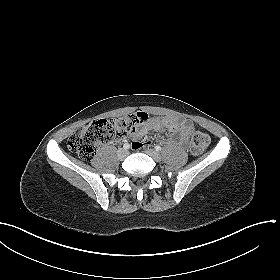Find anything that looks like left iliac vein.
Wrapping results in <instances>:
<instances>
[{
    "instance_id": "obj_1",
    "label": "left iliac vein",
    "mask_w": 280,
    "mask_h": 280,
    "mask_svg": "<svg viewBox=\"0 0 280 280\" xmlns=\"http://www.w3.org/2000/svg\"><path fill=\"white\" fill-rule=\"evenodd\" d=\"M146 153L149 156H151L155 161H160V159H161L160 154L157 151L153 150V149H147Z\"/></svg>"
}]
</instances>
